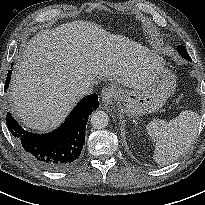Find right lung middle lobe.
Segmentation results:
<instances>
[{
	"instance_id": "dd1d6c3e",
	"label": "right lung middle lobe",
	"mask_w": 205,
	"mask_h": 205,
	"mask_svg": "<svg viewBox=\"0 0 205 205\" xmlns=\"http://www.w3.org/2000/svg\"><path fill=\"white\" fill-rule=\"evenodd\" d=\"M6 81H7V84H9L10 81L9 80H6ZM6 89H7V87H6Z\"/></svg>"
}]
</instances>
